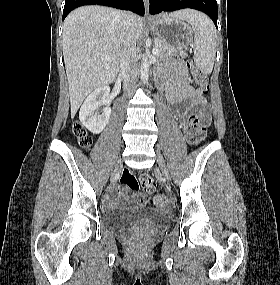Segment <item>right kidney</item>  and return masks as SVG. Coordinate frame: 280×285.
I'll use <instances>...</instances> for the list:
<instances>
[{"label": "right kidney", "mask_w": 280, "mask_h": 285, "mask_svg": "<svg viewBox=\"0 0 280 285\" xmlns=\"http://www.w3.org/2000/svg\"><path fill=\"white\" fill-rule=\"evenodd\" d=\"M109 88L106 86L95 89L84 101L80 108L79 119L82 124L93 134L101 133L106 127L110 115L109 107ZM105 106L101 115L97 114V110Z\"/></svg>", "instance_id": "obj_1"}]
</instances>
